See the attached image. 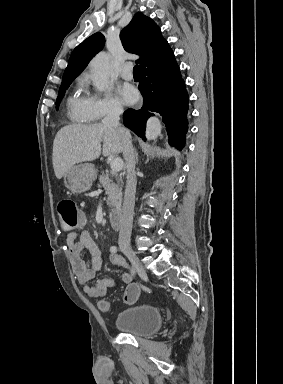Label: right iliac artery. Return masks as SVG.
<instances>
[{"label": "right iliac artery", "instance_id": "82829eb1", "mask_svg": "<svg viewBox=\"0 0 283 384\" xmlns=\"http://www.w3.org/2000/svg\"><path fill=\"white\" fill-rule=\"evenodd\" d=\"M110 251L112 252V253H116L117 252V247L116 246H112L111 248H110ZM132 274L134 275L135 274V270L132 268Z\"/></svg>", "mask_w": 283, "mask_h": 384}]
</instances>
